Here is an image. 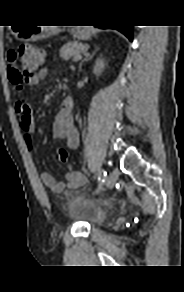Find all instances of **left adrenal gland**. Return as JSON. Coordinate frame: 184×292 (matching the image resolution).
<instances>
[{"instance_id":"a2214340","label":"left adrenal gland","mask_w":184,"mask_h":292,"mask_svg":"<svg viewBox=\"0 0 184 292\" xmlns=\"http://www.w3.org/2000/svg\"><path fill=\"white\" fill-rule=\"evenodd\" d=\"M99 50L98 47H96L95 51L90 55V54H87L85 56V58L80 62L79 64V71H81V68H82V64L84 63V61H88L90 59H92V57L95 55V53Z\"/></svg>"}]
</instances>
